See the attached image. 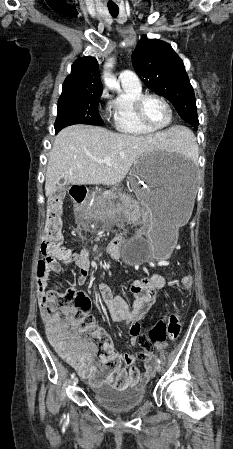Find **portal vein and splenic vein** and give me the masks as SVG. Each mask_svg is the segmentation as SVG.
<instances>
[{
    "label": "portal vein and splenic vein",
    "mask_w": 233,
    "mask_h": 449,
    "mask_svg": "<svg viewBox=\"0 0 233 449\" xmlns=\"http://www.w3.org/2000/svg\"><path fill=\"white\" fill-rule=\"evenodd\" d=\"M100 163H109L110 162V157H106L103 160L99 161Z\"/></svg>",
    "instance_id": "1"
}]
</instances>
